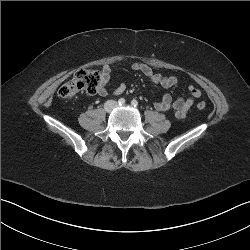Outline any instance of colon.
<instances>
[{
	"label": "colon",
	"mask_w": 250,
	"mask_h": 250,
	"mask_svg": "<svg viewBox=\"0 0 250 250\" xmlns=\"http://www.w3.org/2000/svg\"><path fill=\"white\" fill-rule=\"evenodd\" d=\"M102 82V75L96 70H81L65 83L58 91L60 98L69 100L79 93L94 94ZM205 102H199L197 108L205 109Z\"/></svg>",
	"instance_id": "colon-1"
}]
</instances>
